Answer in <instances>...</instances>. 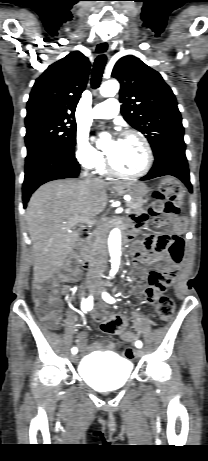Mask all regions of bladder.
<instances>
[{"instance_id":"31cf9c89","label":"bladder","mask_w":208,"mask_h":461,"mask_svg":"<svg viewBox=\"0 0 208 461\" xmlns=\"http://www.w3.org/2000/svg\"><path fill=\"white\" fill-rule=\"evenodd\" d=\"M132 364L109 353L86 356L79 364V374L90 387L99 391L116 390L130 379Z\"/></svg>"}]
</instances>
